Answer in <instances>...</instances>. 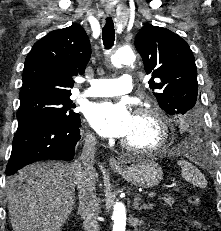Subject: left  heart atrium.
<instances>
[{
	"label": "left heart atrium",
	"instance_id": "39dd6f15",
	"mask_svg": "<svg viewBox=\"0 0 221 231\" xmlns=\"http://www.w3.org/2000/svg\"><path fill=\"white\" fill-rule=\"evenodd\" d=\"M87 118L101 136L109 138H124L130 133L134 121V115L125 103L110 101L92 104Z\"/></svg>",
	"mask_w": 221,
	"mask_h": 231
}]
</instances>
